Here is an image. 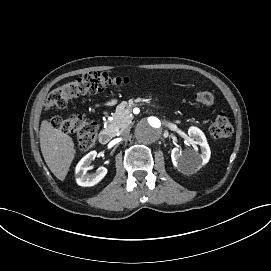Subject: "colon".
<instances>
[{"label":"colon","mask_w":271,"mask_h":271,"mask_svg":"<svg viewBox=\"0 0 271 271\" xmlns=\"http://www.w3.org/2000/svg\"><path fill=\"white\" fill-rule=\"evenodd\" d=\"M131 82L129 77L112 76L103 72H89L54 88L45 101L47 110L61 109L67 104L85 94L102 92L110 86H119ZM213 91L204 90L195 94V101L201 106H211L214 103ZM52 125L64 133L74 134L81 151H88L96 144L97 124L83 115L68 117L53 116ZM233 133V127L228 116L220 113L210 126V135L214 140L228 138Z\"/></svg>","instance_id":"1"}]
</instances>
